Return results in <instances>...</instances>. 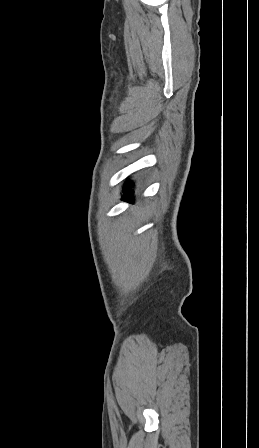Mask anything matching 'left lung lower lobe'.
Instances as JSON below:
<instances>
[{"instance_id": "0a47b994", "label": "left lung lower lobe", "mask_w": 259, "mask_h": 448, "mask_svg": "<svg viewBox=\"0 0 259 448\" xmlns=\"http://www.w3.org/2000/svg\"><path fill=\"white\" fill-rule=\"evenodd\" d=\"M133 185L132 182L128 181V183L125 185V189H131V186ZM125 194L122 196V200L132 203L133 196L131 194V190L128 192L123 191Z\"/></svg>"}]
</instances>
